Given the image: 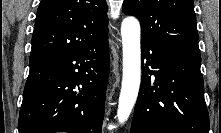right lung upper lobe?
I'll return each mask as SVG.
<instances>
[{
	"instance_id": "1",
	"label": "right lung upper lobe",
	"mask_w": 221,
	"mask_h": 133,
	"mask_svg": "<svg viewBox=\"0 0 221 133\" xmlns=\"http://www.w3.org/2000/svg\"><path fill=\"white\" fill-rule=\"evenodd\" d=\"M106 0H42L30 60L76 51L108 32Z\"/></svg>"
}]
</instances>
